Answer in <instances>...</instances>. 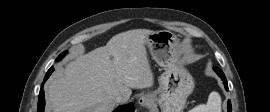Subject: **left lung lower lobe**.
I'll use <instances>...</instances> for the list:
<instances>
[{
	"label": "left lung lower lobe",
	"mask_w": 270,
	"mask_h": 112,
	"mask_svg": "<svg viewBox=\"0 0 270 112\" xmlns=\"http://www.w3.org/2000/svg\"><path fill=\"white\" fill-rule=\"evenodd\" d=\"M213 69L221 77L223 84L225 86V89L228 91L229 89H228V85H227V80H226V77H225L224 73L222 72V70L220 68H217V67H214ZM227 112H231V101L230 100L228 101V111Z\"/></svg>",
	"instance_id": "1"
}]
</instances>
